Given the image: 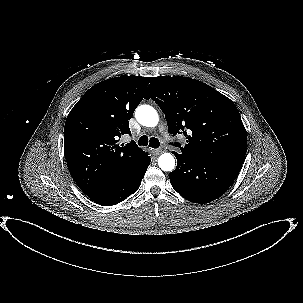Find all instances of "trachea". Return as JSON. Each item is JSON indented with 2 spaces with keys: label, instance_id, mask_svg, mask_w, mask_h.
<instances>
[{
  "label": "trachea",
  "instance_id": "trachea-1",
  "mask_svg": "<svg viewBox=\"0 0 303 303\" xmlns=\"http://www.w3.org/2000/svg\"><path fill=\"white\" fill-rule=\"evenodd\" d=\"M138 144L140 146H147L149 145L152 148H158L160 145V142L157 138L155 137H151L150 139L148 138V136L143 135L140 137V139L138 140Z\"/></svg>",
  "mask_w": 303,
  "mask_h": 303
}]
</instances>
